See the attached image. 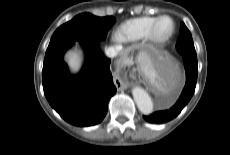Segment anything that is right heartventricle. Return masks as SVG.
Returning <instances> with one entry per match:
<instances>
[{
  "instance_id": "obj_1",
  "label": "right heart ventricle",
  "mask_w": 230,
  "mask_h": 155,
  "mask_svg": "<svg viewBox=\"0 0 230 155\" xmlns=\"http://www.w3.org/2000/svg\"><path fill=\"white\" fill-rule=\"evenodd\" d=\"M156 18L155 16H142L123 22L117 29V38L123 42L144 39L147 37L149 29Z\"/></svg>"
}]
</instances>
